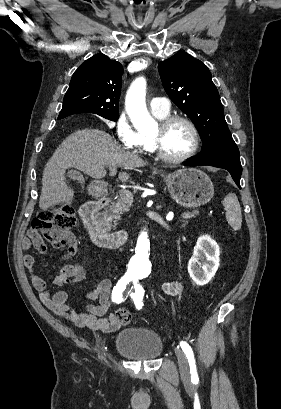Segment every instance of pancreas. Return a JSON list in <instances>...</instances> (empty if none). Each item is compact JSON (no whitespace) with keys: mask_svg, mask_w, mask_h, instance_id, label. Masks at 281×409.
<instances>
[{"mask_svg":"<svg viewBox=\"0 0 281 409\" xmlns=\"http://www.w3.org/2000/svg\"><path fill=\"white\" fill-rule=\"evenodd\" d=\"M126 211H129V208H123L122 207V198H117L116 202H112L111 207L107 209L106 213L111 217V219H114L113 221V227H116L118 225V221L121 219V215L123 213H126ZM199 211H193V216L198 215Z\"/></svg>","mask_w":281,"mask_h":409,"instance_id":"obj_1","label":"pancreas"}]
</instances>
